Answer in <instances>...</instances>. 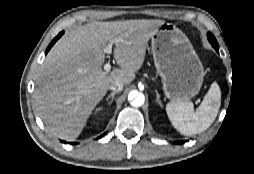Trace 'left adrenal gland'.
<instances>
[{
	"instance_id": "1",
	"label": "left adrenal gland",
	"mask_w": 254,
	"mask_h": 174,
	"mask_svg": "<svg viewBox=\"0 0 254 174\" xmlns=\"http://www.w3.org/2000/svg\"><path fill=\"white\" fill-rule=\"evenodd\" d=\"M155 93H156V102H157L160 106H162V102H161V100H160L159 93H158L157 91H155Z\"/></svg>"
}]
</instances>
